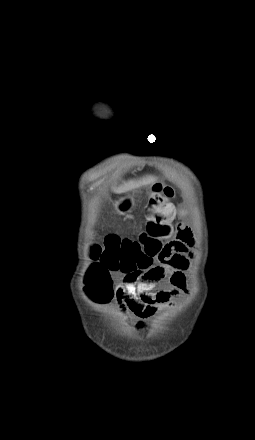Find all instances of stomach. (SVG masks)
I'll return each instance as SVG.
<instances>
[{"label":"stomach","mask_w":255,"mask_h":440,"mask_svg":"<svg viewBox=\"0 0 255 440\" xmlns=\"http://www.w3.org/2000/svg\"><path fill=\"white\" fill-rule=\"evenodd\" d=\"M134 205H135L134 199L130 196H127L119 199L115 203V209L119 214L125 215L126 213L131 212Z\"/></svg>","instance_id":"1"}]
</instances>
